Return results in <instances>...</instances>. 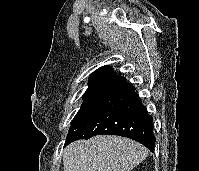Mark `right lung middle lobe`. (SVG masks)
<instances>
[{"instance_id":"obj_1","label":"right lung middle lobe","mask_w":199,"mask_h":171,"mask_svg":"<svg viewBox=\"0 0 199 171\" xmlns=\"http://www.w3.org/2000/svg\"><path fill=\"white\" fill-rule=\"evenodd\" d=\"M113 79L114 77L112 76H99V77L90 78L89 87L83 95L84 101L81 105L80 110L72 120V124L74 123L80 111L90 102V100L94 96H96L104 87H106Z\"/></svg>"}]
</instances>
